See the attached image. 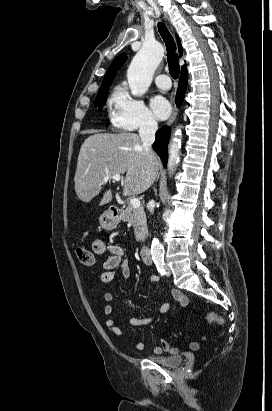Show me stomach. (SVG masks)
<instances>
[{"mask_svg": "<svg viewBox=\"0 0 272 411\" xmlns=\"http://www.w3.org/2000/svg\"><path fill=\"white\" fill-rule=\"evenodd\" d=\"M100 225L105 230H113L120 222V218L112 214L110 211H105L99 217Z\"/></svg>", "mask_w": 272, "mask_h": 411, "instance_id": "0dacf381", "label": "stomach"}]
</instances>
